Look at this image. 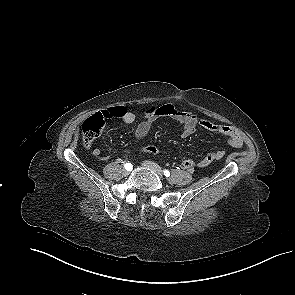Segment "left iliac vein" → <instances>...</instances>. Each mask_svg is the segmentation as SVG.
Masks as SVG:
<instances>
[{"label":"left iliac vein","mask_w":295,"mask_h":295,"mask_svg":"<svg viewBox=\"0 0 295 295\" xmlns=\"http://www.w3.org/2000/svg\"><path fill=\"white\" fill-rule=\"evenodd\" d=\"M143 166H145V167H147V168H150L151 170L155 171L156 174H157L161 179H163L162 170H161V168H160L156 163H153V162H150V161H144V162H143Z\"/></svg>","instance_id":"left-iliac-vein-1"}]
</instances>
